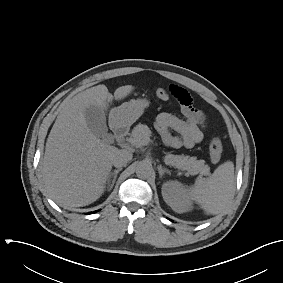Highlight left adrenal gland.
<instances>
[{
	"label": "left adrenal gland",
	"mask_w": 283,
	"mask_h": 283,
	"mask_svg": "<svg viewBox=\"0 0 283 283\" xmlns=\"http://www.w3.org/2000/svg\"><path fill=\"white\" fill-rule=\"evenodd\" d=\"M158 172H159V176L160 178H162V176L167 173V174H171L170 170L163 168L161 165L158 166Z\"/></svg>",
	"instance_id": "1"
}]
</instances>
